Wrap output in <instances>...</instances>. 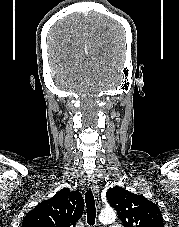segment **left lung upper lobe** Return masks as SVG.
<instances>
[{
	"instance_id": "left-lung-upper-lobe-1",
	"label": "left lung upper lobe",
	"mask_w": 179,
	"mask_h": 227,
	"mask_svg": "<svg viewBox=\"0 0 179 227\" xmlns=\"http://www.w3.org/2000/svg\"><path fill=\"white\" fill-rule=\"evenodd\" d=\"M106 197L124 227H164L159 207L144 196L114 186L107 190Z\"/></svg>"
}]
</instances>
